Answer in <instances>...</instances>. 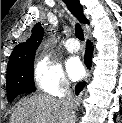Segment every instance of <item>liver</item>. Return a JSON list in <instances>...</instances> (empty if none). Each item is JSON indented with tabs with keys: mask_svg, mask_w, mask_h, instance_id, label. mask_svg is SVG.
<instances>
[{
	"mask_svg": "<svg viewBox=\"0 0 122 123\" xmlns=\"http://www.w3.org/2000/svg\"><path fill=\"white\" fill-rule=\"evenodd\" d=\"M74 116L63 114L61 100L38 94L19 102L10 123H74Z\"/></svg>",
	"mask_w": 122,
	"mask_h": 123,
	"instance_id": "liver-1",
	"label": "liver"
}]
</instances>
